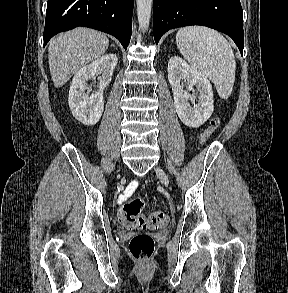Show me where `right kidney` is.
I'll return each mask as SVG.
<instances>
[{
	"instance_id": "obj_1",
	"label": "right kidney",
	"mask_w": 288,
	"mask_h": 293,
	"mask_svg": "<svg viewBox=\"0 0 288 293\" xmlns=\"http://www.w3.org/2000/svg\"><path fill=\"white\" fill-rule=\"evenodd\" d=\"M118 59L115 54H106L76 72L69 90V107L73 116L86 125L96 124L104 110L103 90L109 85ZM100 75L99 90L88 97L87 82Z\"/></svg>"
}]
</instances>
